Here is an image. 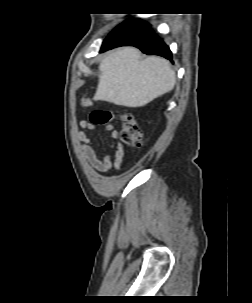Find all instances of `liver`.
I'll use <instances>...</instances> for the list:
<instances>
[{
	"label": "liver",
	"instance_id": "6515ba94",
	"mask_svg": "<svg viewBox=\"0 0 252 303\" xmlns=\"http://www.w3.org/2000/svg\"><path fill=\"white\" fill-rule=\"evenodd\" d=\"M100 76L94 98L126 107H141L171 91L176 74L161 57L141 60L134 47L117 49L99 65Z\"/></svg>",
	"mask_w": 252,
	"mask_h": 303
}]
</instances>
